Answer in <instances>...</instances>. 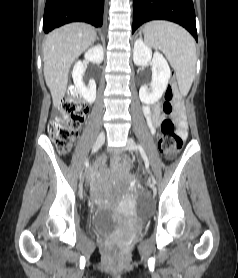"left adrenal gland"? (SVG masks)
Masks as SVG:
<instances>
[{"instance_id":"left-adrenal-gland-1","label":"left adrenal gland","mask_w":238,"mask_h":278,"mask_svg":"<svg viewBox=\"0 0 238 278\" xmlns=\"http://www.w3.org/2000/svg\"><path fill=\"white\" fill-rule=\"evenodd\" d=\"M139 36H140V38H141V32H139V34H138Z\"/></svg>"}]
</instances>
